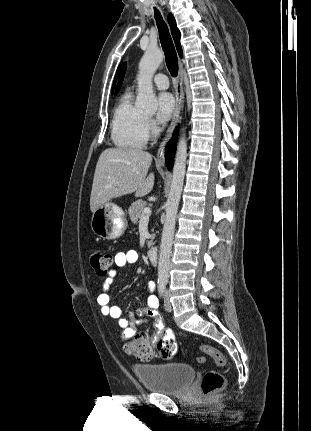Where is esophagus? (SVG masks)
<instances>
[{
  "mask_svg": "<svg viewBox=\"0 0 311 431\" xmlns=\"http://www.w3.org/2000/svg\"><path fill=\"white\" fill-rule=\"evenodd\" d=\"M175 97H176V103H175L174 113L172 115V120H171L170 126L167 130V134H166L165 138L163 139V141L161 142L159 150L157 152L156 163L159 165H164V163H165V158H164L165 146H166L167 142L170 140V138L172 137L173 131H174L175 127L177 126V124L179 123V120H180V113H181L182 102H183V98H184V93H183V65L181 62L179 63V72H178V76H177V80H176Z\"/></svg>",
  "mask_w": 311,
  "mask_h": 431,
  "instance_id": "1",
  "label": "esophagus"
}]
</instances>
